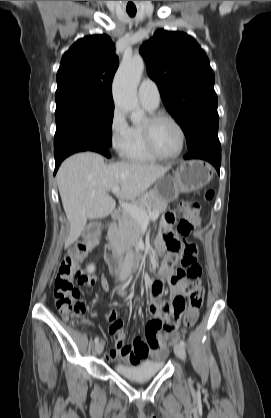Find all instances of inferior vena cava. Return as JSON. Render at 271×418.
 Returning <instances> with one entry per match:
<instances>
[{
  "label": "inferior vena cava",
  "mask_w": 271,
  "mask_h": 418,
  "mask_svg": "<svg viewBox=\"0 0 271 418\" xmlns=\"http://www.w3.org/2000/svg\"><path fill=\"white\" fill-rule=\"evenodd\" d=\"M133 252L132 250L128 249L126 252L125 259L120 269L119 278L120 280H125L131 273L133 263H132Z\"/></svg>",
  "instance_id": "602c4592"
}]
</instances>
